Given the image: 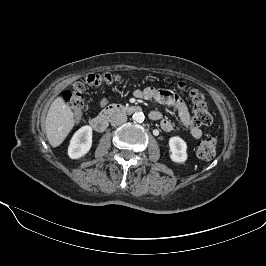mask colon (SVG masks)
I'll use <instances>...</instances> for the list:
<instances>
[{
  "label": "colon",
  "instance_id": "colon-1",
  "mask_svg": "<svg viewBox=\"0 0 266 266\" xmlns=\"http://www.w3.org/2000/svg\"><path fill=\"white\" fill-rule=\"evenodd\" d=\"M119 81L115 73L89 74L73 85L71 90L64 93V99L70 106L75 121L79 122L84 107V92L87 87L111 86ZM178 88L188 92L192 103L193 123L195 126H208L212 123V116L203 95L195 89L188 88L184 83H178ZM217 142L209 137L197 145V155L203 160H210L216 154Z\"/></svg>",
  "mask_w": 266,
  "mask_h": 266
}]
</instances>
